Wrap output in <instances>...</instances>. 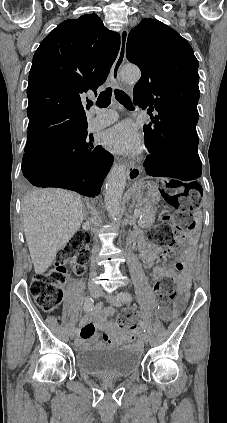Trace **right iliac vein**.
<instances>
[{"instance_id":"right-iliac-vein-1","label":"right iliac vein","mask_w":227,"mask_h":423,"mask_svg":"<svg viewBox=\"0 0 227 423\" xmlns=\"http://www.w3.org/2000/svg\"><path fill=\"white\" fill-rule=\"evenodd\" d=\"M89 294L91 295V296H93L94 298H97V297H99L100 296V294H101V290H99L98 288H95V287H89ZM78 334L76 333V330H72L71 331V333H70V337L72 338V339H74L76 336H77Z\"/></svg>"}]
</instances>
